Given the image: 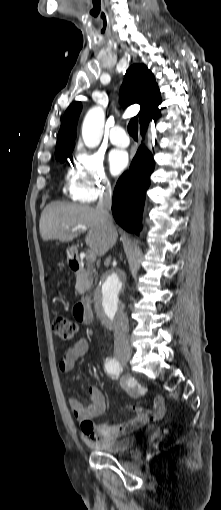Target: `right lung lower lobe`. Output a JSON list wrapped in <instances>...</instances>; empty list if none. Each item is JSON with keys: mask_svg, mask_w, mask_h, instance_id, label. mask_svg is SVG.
<instances>
[{"mask_svg": "<svg viewBox=\"0 0 221 510\" xmlns=\"http://www.w3.org/2000/svg\"><path fill=\"white\" fill-rule=\"evenodd\" d=\"M147 124L141 127L142 134ZM154 166L151 153L142 144L132 160L129 171L124 172L116 184L112 212L116 222L128 232L134 231L138 234L141 230L145 193Z\"/></svg>", "mask_w": 221, "mask_h": 510, "instance_id": "1", "label": "right lung lower lobe"}]
</instances>
